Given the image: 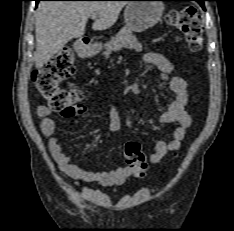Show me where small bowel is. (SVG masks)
Returning <instances> with one entry per match:
<instances>
[{
	"instance_id": "c3829d8e",
	"label": "small bowel",
	"mask_w": 234,
	"mask_h": 231,
	"mask_svg": "<svg viewBox=\"0 0 234 231\" xmlns=\"http://www.w3.org/2000/svg\"><path fill=\"white\" fill-rule=\"evenodd\" d=\"M146 61L167 74H170L174 68L173 64L159 53L148 54ZM169 87L173 99L166 103L165 110L157 115V119L165 124L176 122L178 126L174 129L171 140H159L155 144L154 151L150 156L152 164H158L167 154L178 151L187 130L192 124V118L186 109L189 95L185 80L180 76H172ZM108 109L110 119L109 133H114L121 127V113L118 106L112 101H109ZM87 112L88 108L84 104H77L69 110L62 111V116H83ZM51 113V109L47 106L41 105L37 108L41 132L47 139L49 151L65 178L84 183L96 182L103 186H117L123 184L135 172L131 166H116L110 170L89 171L75 164L72 161V157L62 149Z\"/></svg>"
}]
</instances>
